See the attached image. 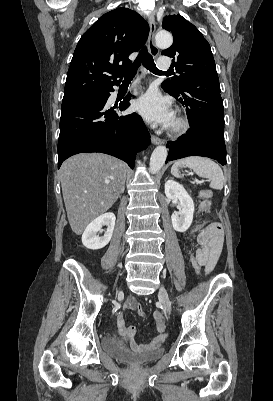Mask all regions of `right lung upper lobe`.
I'll list each match as a JSON object with an SVG mask.
<instances>
[{
  "label": "right lung upper lobe",
  "mask_w": 273,
  "mask_h": 401,
  "mask_svg": "<svg viewBox=\"0 0 273 401\" xmlns=\"http://www.w3.org/2000/svg\"><path fill=\"white\" fill-rule=\"evenodd\" d=\"M149 26L136 12L117 8L101 16L80 38L67 73L64 97L101 92L131 64L146 42Z\"/></svg>",
  "instance_id": "right-lung-upper-lobe-1"
}]
</instances>
